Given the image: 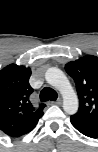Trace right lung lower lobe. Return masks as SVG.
<instances>
[{
  "instance_id": "1",
  "label": "right lung lower lobe",
  "mask_w": 98,
  "mask_h": 152,
  "mask_svg": "<svg viewBox=\"0 0 98 152\" xmlns=\"http://www.w3.org/2000/svg\"><path fill=\"white\" fill-rule=\"evenodd\" d=\"M35 126H36V125H35ZM35 126H34V127H35ZM34 127H33V128H34ZM33 128H32V129H33ZM32 129H30L28 132H30ZM28 132H26V133H28ZM26 133H25V134H26Z\"/></svg>"
}]
</instances>
